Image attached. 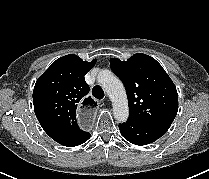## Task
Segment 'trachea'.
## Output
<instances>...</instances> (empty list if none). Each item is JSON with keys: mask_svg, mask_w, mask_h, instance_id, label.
I'll use <instances>...</instances> for the list:
<instances>
[{"mask_svg": "<svg viewBox=\"0 0 209 179\" xmlns=\"http://www.w3.org/2000/svg\"><path fill=\"white\" fill-rule=\"evenodd\" d=\"M92 94L95 98L97 99H103L104 97V92L100 86H94L92 89Z\"/></svg>", "mask_w": 209, "mask_h": 179, "instance_id": "trachea-1", "label": "trachea"}]
</instances>
